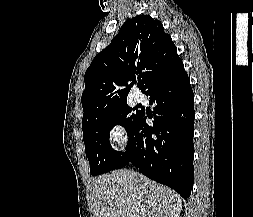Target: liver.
I'll return each mask as SVG.
<instances>
[{
	"instance_id": "liver-1",
	"label": "liver",
	"mask_w": 253,
	"mask_h": 217,
	"mask_svg": "<svg viewBox=\"0 0 253 217\" xmlns=\"http://www.w3.org/2000/svg\"><path fill=\"white\" fill-rule=\"evenodd\" d=\"M90 208L94 217H179L182 210L172 189L130 170L96 177Z\"/></svg>"
}]
</instances>
